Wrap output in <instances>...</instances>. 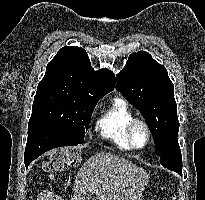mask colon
I'll return each instance as SVG.
<instances>
[{"mask_svg": "<svg viewBox=\"0 0 205 200\" xmlns=\"http://www.w3.org/2000/svg\"><path fill=\"white\" fill-rule=\"evenodd\" d=\"M80 160V152L76 148L65 147L52 153L43 169L48 177H52L57 172L77 166Z\"/></svg>", "mask_w": 205, "mask_h": 200, "instance_id": "obj_1", "label": "colon"}]
</instances>
